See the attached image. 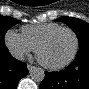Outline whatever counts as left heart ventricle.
Here are the masks:
<instances>
[{"label": "left heart ventricle", "mask_w": 89, "mask_h": 89, "mask_svg": "<svg viewBox=\"0 0 89 89\" xmlns=\"http://www.w3.org/2000/svg\"><path fill=\"white\" fill-rule=\"evenodd\" d=\"M74 46L73 35L68 31H60L42 48L41 57L49 64H58L69 58Z\"/></svg>", "instance_id": "left-heart-ventricle-1"}]
</instances>
